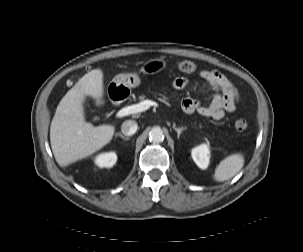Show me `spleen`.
I'll list each match as a JSON object with an SVG mask.
<instances>
[{
  "label": "spleen",
  "mask_w": 303,
  "mask_h": 252,
  "mask_svg": "<svg viewBox=\"0 0 303 252\" xmlns=\"http://www.w3.org/2000/svg\"><path fill=\"white\" fill-rule=\"evenodd\" d=\"M244 166V157L240 153L231 154L224 158L216 167L213 179L223 182L234 177Z\"/></svg>",
  "instance_id": "spleen-1"
}]
</instances>
